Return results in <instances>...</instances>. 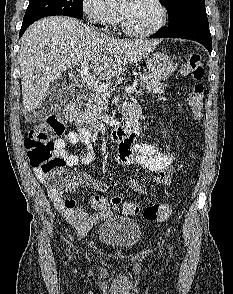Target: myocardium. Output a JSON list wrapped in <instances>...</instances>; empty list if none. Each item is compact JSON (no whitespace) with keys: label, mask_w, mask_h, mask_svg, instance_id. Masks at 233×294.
<instances>
[{"label":"myocardium","mask_w":233,"mask_h":294,"mask_svg":"<svg viewBox=\"0 0 233 294\" xmlns=\"http://www.w3.org/2000/svg\"><path fill=\"white\" fill-rule=\"evenodd\" d=\"M152 2L158 7L160 11V19L158 23L148 29V30H136L132 28L126 21L124 15L122 12L119 11V16H120V22H121V27L124 30L125 33L135 36V37H147L154 35L158 31H160L167 23L168 20V10L164 3L161 0H152Z\"/></svg>","instance_id":"obj_1"}]
</instances>
